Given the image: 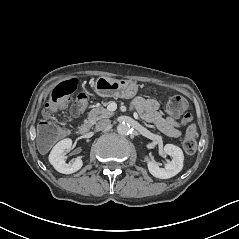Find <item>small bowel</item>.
I'll return each instance as SVG.
<instances>
[{"mask_svg": "<svg viewBox=\"0 0 239 239\" xmlns=\"http://www.w3.org/2000/svg\"><path fill=\"white\" fill-rule=\"evenodd\" d=\"M132 107L142 119L155 124L167 136L179 137L181 135L178 122L174 117H163L156 100L138 96L132 101Z\"/></svg>", "mask_w": 239, "mask_h": 239, "instance_id": "small-bowel-1", "label": "small bowel"}]
</instances>
